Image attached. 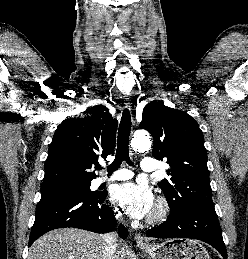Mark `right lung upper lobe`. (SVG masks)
I'll return each mask as SVG.
<instances>
[{
	"instance_id": "obj_1",
	"label": "right lung upper lobe",
	"mask_w": 248,
	"mask_h": 259,
	"mask_svg": "<svg viewBox=\"0 0 248 259\" xmlns=\"http://www.w3.org/2000/svg\"><path fill=\"white\" fill-rule=\"evenodd\" d=\"M84 118L66 119L55 131L45 162L42 184L88 181L97 158L113 152L117 120L103 105L87 109Z\"/></svg>"
}]
</instances>
